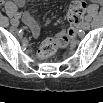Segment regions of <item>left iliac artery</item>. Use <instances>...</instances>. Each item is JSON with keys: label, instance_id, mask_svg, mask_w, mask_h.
<instances>
[{"label": "left iliac artery", "instance_id": "44dca946", "mask_svg": "<svg viewBox=\"0 0 103 103\" xmlns=\"http://www.w3.org/2000/svg\"><path fill=\"white\" fill-rule=\"evenodd\" d=\"M85 20H86L87 22H90V21H91V16H90V15H87V16L85 17Z\"/></svg>", "mask_w": 103, "mask_h": 103}]
</instances>
